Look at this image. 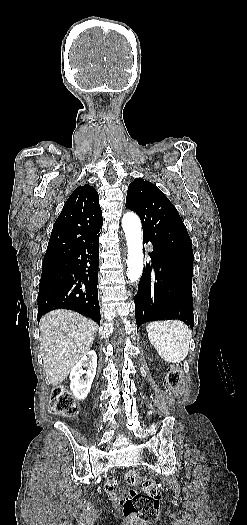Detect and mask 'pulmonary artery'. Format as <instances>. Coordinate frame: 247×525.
Instances as JSON below:
<instances>
[{
	"mask_svg": "<svg viewBox=\"0 0 247 525\" xmlns=\"http://www.w3.org/2000/svg\"><path fill=\"white\" fill-rule=\"evenodd\" d=\"M149 251H151V249H149ZM153 263H156V260H153Z\"/></svg>",
	"mask_w": 247,
	"mask_h": 525,
	"instance_id": "1",
	"label": "pulmonary artery"
}]
</instances>
